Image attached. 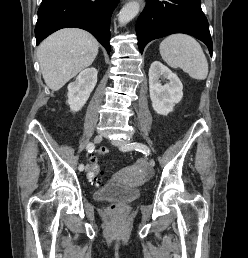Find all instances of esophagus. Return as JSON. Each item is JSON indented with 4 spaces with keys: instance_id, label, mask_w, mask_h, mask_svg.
I'll use <instances>...</instances> for the list:
<instances>
[{
    "instance_id": "obj_1",
    "label": "esophagus",
    "mask_w": 248,
    "mask_h": 258,
    "mask_svg": "<svg viewBox=\"0 0 248 258\" xmlns=\"http://www.w3.org/2000/svg\"><path fill=\"white\" fill-rule=\"evenodd\" d=\"M139 2H140V5L143 7L144 6L143 0H139Z\"/></svg>"
}]
</instances>
